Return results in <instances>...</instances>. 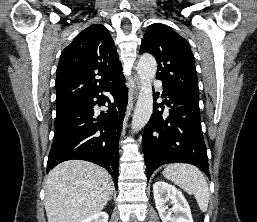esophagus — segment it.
<instances>
[{
	"label": "esophagus",
	"mask_w": 257,
	"mask_h": 222,
	"mask_svg": "<svg viewBox=\"0 0 257 222\" xmlns=\"http://www.w3.org/2000/svg\"><path fill=\"white\" fill-rule=\"evenodd\" d=\"M140 89V81L138 77L134 78V94L137 95L138 91Z\"/></svg>",
	"instance_id": "34e87169"
}]
</instances>
